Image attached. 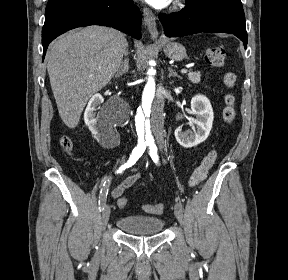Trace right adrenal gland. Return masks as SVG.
Masks as SVG:
<instances>
[{"label": "right adrenal gland", "mask_w": 288, "mask_h": 280, "mask_svg": "<svg viewBox=\"0 0 288 280\" xmlns=\"http://www.w3.org/2000/svg\"><path fill=\"white\" fill-rule=\"evenodd\" d=\"M128 70H129V59L125 58V60L121 64L120 68L118 69L115 77H120L123 74H126L128 72Z\"/></svg>", "instance_id": "right-adrenal-gland-1"}]
</instances>
